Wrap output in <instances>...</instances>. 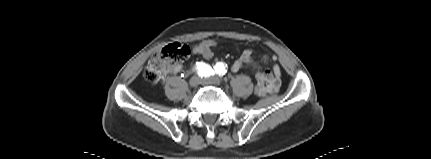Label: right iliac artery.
<instances>
[{"label":"right iliac artery","mask_w":431,"mask_h":159,"mask_svg":"<svg viewBox=\"0 0 431 159\" xmlns=\"http://www.w3.org/2000/svg\"><path fill=\"white\" fill-rule=\"evenodd\" d=\"M195 69L197 70V73L201 78L213 75L212 68L208 64H205L203 62L197 63Z\"/></svg>","instance_id":"1"}]
</instances>
